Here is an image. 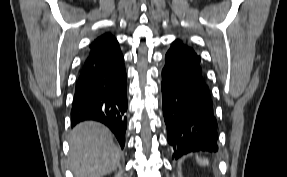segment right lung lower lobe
I'll use <instances>...</instances> for the list:
<instances>
[{
  "instance_id": "1",
  "label": "right lung lower lobe",
  "mask_w": 287,
  "mask_h": 177,
  "mask_svg": "<svg viewBox=\"0 0 287 177\" xmlns=\"http://www.w3.org/2000/svg\"><path fill=\"white\" fill-rule=\"evenodd\" d=\"M127 84L123 55L110 33L96 38L82 63L75 85L71 124L99 121L110 128L121 147L127 127Z\"/></svg>"
}]
</instances>
